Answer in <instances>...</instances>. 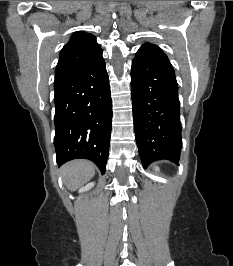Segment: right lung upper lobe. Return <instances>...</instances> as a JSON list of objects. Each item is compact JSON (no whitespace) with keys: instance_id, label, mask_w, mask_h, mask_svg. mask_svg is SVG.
<instances>
[{"instance_id":"cb5924a9","label":"right lung upper lobe","mask_w":233,"mask_h":266,"mask_svg":"<svg viewBox=\"0 0 233 266\" xmlns=\"http://www.w3.org/2000/svg\"><path fill=\"white\" fill-rule=\"evenodd\" d=\"M102 55V49L92 34L75 32L62 48L55 71V84L82 71Z\"/></svg>"}]
</instances>
